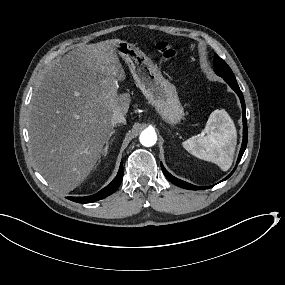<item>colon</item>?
I'll list each match as a JSON object with an SVG mask.
<instances>
[{
  "label": "colon",
  "instance_id": "1",
  "mask_svg": "<svg viewBox=\"0 0 285 285\" xmlns=\"http://www.w3.org/2000/svg\"><path fill=\"white\" fill-rule=\"evenodd\" d=\"M155 50L167 60H176L179 57L178 50L168 41L156 43Z\"/></svg>",
  "mask_w": 285,
  "mask_h": 285
}]
</instances>
